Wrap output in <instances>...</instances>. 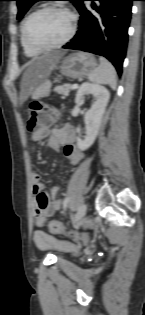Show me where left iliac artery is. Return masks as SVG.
I'll return each mask as SVG.
<instances>
[{
	"label": "left iliac artery",
	"instance_id": "44dca946",
	"mask_svg": "<svg viewBox=\"0 0 145 315\" xmlns=\"http://www.w3.org/2000/svg\"><path fill=\"white\" fill-rule=\"evenodd\" d=\"M68 203H69V198H68V197H66V198L64 199V201H63V206H64V209H66V208H67Z\"/></svg>",
	"mask_w": 145,
	"mask_h": 315
}]
</instances>
